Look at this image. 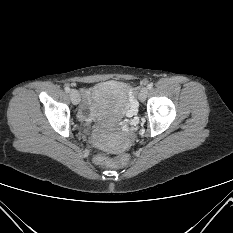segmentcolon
Segmentation results:
<instances>
[{"mask_svg":"<svg viewBox=\"0 0 233 233\" xmlns=\"http://www.w3.org/2000/svg\"><path fill=\"white\" fill-rule=\"evenodd\" d=\"M95 162L97 164H105V165H111V166H115L119 163L118 159H112L106 156H97L95 158Z\"/></svg>","mask_w":233,"mask_h":233,"instance_id":"colon-1","label":"colon"}]
</instances>
